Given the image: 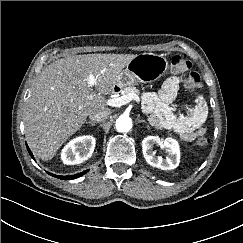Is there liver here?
Wrapping results in <instances>:
<instances>
[{"label":"liver","instance_id":"obj_1","mask_svg":"<svg viewBox=\"0 0 243 243\" xmlns=\"http://www.w3.org/2000/svg\"><path fill=\"white\" fill-rule=\"evenodd\" d=\"M131 54H84L49 64L32 87L25 108L29 146L42 160L52 159L67 139L85 123L89 113L105 108L117 77ZM94 75V89L88 77Z\"/></svg>","mask_w":243,"mask_h":243}]
</instances>
